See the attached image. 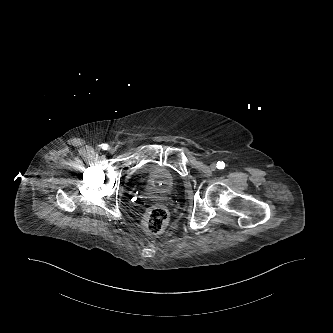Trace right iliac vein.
<instances>
[{
    "label": "right iliac vein",
    "instance_id": "obj_1",
    "mask_svg": "<svg viewBox=\"0 0 333 333\" xmlns=\"http://www.w3.org/2000/svg\"><path fill=\"white\" fill-rule=\"evenodd\" d=\"M109 152H110L111 154H114V153L116 152V149H115L114 147H110V148H109Z\"/></svg>",
    "mask_w": 333,
    "mask_h": 333
}]
</instances>
